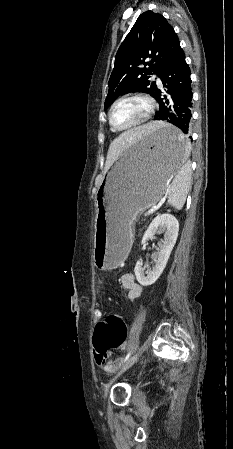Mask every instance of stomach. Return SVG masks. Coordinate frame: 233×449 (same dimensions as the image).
Instances as JSON below:
<instances>
[{
    "label": "stomach",
    "instance_id": "1",
    "mask_svg": "<svg viewBox=\"0 0 233 449\" xmlns=\"http://www.w3.org/2000/svg\"><path fill=\"white\" fill-rule=\"evenodd\" d=\"M187 137L163 123L132 144L107 173L98 192L95 223L96 267L116 268L134 235L138 216L164 195L168 182L186 161Z\"/></svg>",
    "mask_w": 233,
    "mask_h": 449
}]
</instances>
